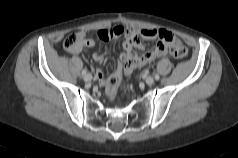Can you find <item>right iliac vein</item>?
<instances>
[{
    "mask_svg": "<svg viewBox=\"0 0 238 158\" xmlns=\"http://www.w3.org/2000/svg\"><path fill=\"white\" fill-rule=\"evenodd\" d=\"M83 79L86 81V82H90L92 80V75L90 73H87L83 76Z\"/></svg>",
    "mask_w": 238,
    "mask_h": 158,
    "instance_id": "right-iliac-vein-1",
    "label": "right iliac vein"
}]
</instances>
